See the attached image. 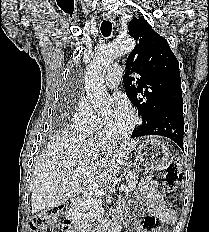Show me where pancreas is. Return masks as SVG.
I'll list each match as a JSON object with an SVG mask.
<instances>
[{
	"mask_svg": "<svg viewBox=\"0 0 209 232\" xmlns=\"http://www.w3.org/2000/svg\"><path fill=\"white\" fill-rule=\"evenodd\" d=\"M139 171H130L126 175V192L132 191L136 184L138 183ZM75 211V219L80 221L81 223H94L97 218L100 217L102 212V203L101 200L97 198V196H93L87 199L83 205L78 206L74 209Z\"/></svg>",
	"mask_w": 209,
	"mask_h": 232,
	"instance_id": "pancreas-1",
	"label": "pancreas"
}]
</instances>
